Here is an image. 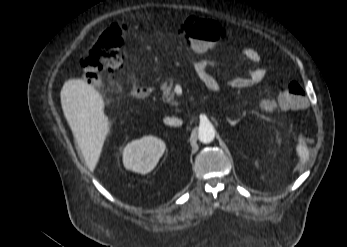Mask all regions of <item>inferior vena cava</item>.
Returning a JSON list of instances; mask_svg holds the SVG:
<instances>
[{"label":"inferior vena cava","mask_w":347,"mask_h":247,"mask_svg":"<svg viewBox=\"0 0 347 247\" xmlns=\"http://www.w3.org/2000/svg\"><path fill=\"white\" fill-rule=\"evenodd\" d=\"M164 120H165V123L169 125L179 126L182 124V121L178 118H165Z\"/></svg>","instance_id":"obj_1"}]
</instances>
